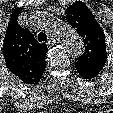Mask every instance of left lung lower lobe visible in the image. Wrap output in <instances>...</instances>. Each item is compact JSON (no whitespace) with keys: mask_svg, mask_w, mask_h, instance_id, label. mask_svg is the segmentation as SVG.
Listing matches in <instances>:
<instances>
[{"mask_svg":"<svg viewBox=\"0 0 113 113\" xmlns=\"http://www.w3.org/2000/svg\"><path fill=\"white\" fill-rule=\"evenodd\" d=\"M75 67L79 75L84 79L94 78L99 74V70L92 69L81 64L75 63Z\"/></svg>","mask_w":113,"mask_h":113,"instance_id":"1","label":"left lung lower lobe"}]
</instances>
